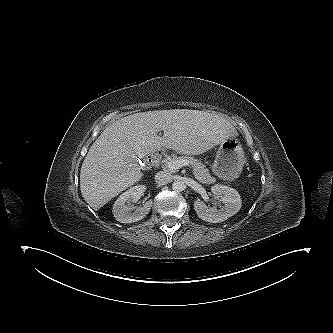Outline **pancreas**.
<instances>
[{"instance_id": "pancreas-1", "label": "pancreas", "mask_w": 333, "mask_h": 333, "mask_svg": "<svg viewBox=\"0 0 333 333\" xmlns=\"http://www.w3.org/2000/svg\"><path fill=\"white\" fill-rule=\"evenodd\" d=\"M185 160L187 161L190 166L193 169V174L195 176V178L203 184H212L215 182V178L213 176H211V174L209 173V170L207 168H205V165L202 164L200 161H198L197 159L190 157V156H182V157H176L175 159L172 160ZM169 160L166 161V163H168Z\"/></svg>"}]
</instances>
